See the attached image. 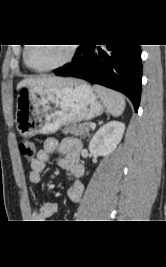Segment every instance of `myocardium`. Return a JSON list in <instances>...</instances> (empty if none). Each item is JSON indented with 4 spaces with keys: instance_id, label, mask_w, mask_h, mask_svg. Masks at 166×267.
I'll return each mask as SVG.
<instances>
[{
    "instance_id": "1",
    "label": "myocardium",
    "mask_w": 166,
    "mask_h": 267,
    "mask_svg": "<svg viewBox=\"0 0 166 267\" xmlns=\"http://www.w3.org/2000/svg\"><path fill=\"white\" fill-rule=\"evenodd\" d=\"M31 45L32 44H28L25 47L24 53H23V60L26 64V66L35 72H50V71L59 69L65 65H67L69 62H71V60L73 59L75 52H76L75 46H73V44H68V46H67L68 47V54L63 61H61L60 63H58L56 65L50 66V67L36 68V67H33L28 61V52H29V49L31 48Z\"/></svg>"
}]
</instances>
